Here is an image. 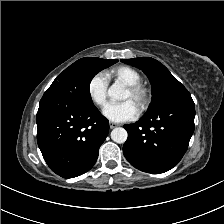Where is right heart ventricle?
Instances as JSON below:
<instances>
[{"instance_id":"1","label":"right heart ventricle","mask_w":224,"mask_h":224,"mask_svg":"<svg viewBox=\"0 0 224 224\" xmlns=\"http://www.w3.org/2000/svg\"><path fill=\"white\" fill-rule=\"evenodd\" d=\"M108 76L125 85L140 84L142 81L141 74L129 66L115 67L108 72Z\"/></svg>"}]
</instances>
